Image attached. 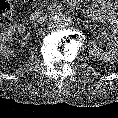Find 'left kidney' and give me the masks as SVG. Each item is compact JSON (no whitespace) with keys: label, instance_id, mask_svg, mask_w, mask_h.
<instances>
[{"label":"left kidney","instance_id":"1","mask_svg":"<svg viewBox=\"0 0 118 118\" xmlns=\"http://www.w3.org/2000/svg\"><path fill=\"white\" fill-rule=\"evenodd\" d=\"M101 36L107 41L109 50L103 51L92 41L89 47L90 54L103 61L118 60V38L106 31H102Z\"/></svg>","mask_w":118,"mask_h":118}]
</instances>
